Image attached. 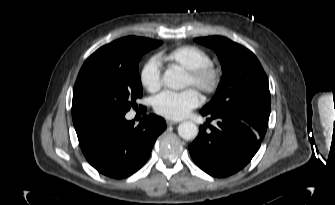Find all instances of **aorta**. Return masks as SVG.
I'll return each instance as SVG.
<instances>
[{"label":"aorta","instance_id":"aorta-1","mask_svg":"<svg viewBox=\"0 0 335 205\" xmlns=\"http://www.w3.org/2000/svg\"><path fill=\"white\" fill-rule=\"evenodd\" d=\"M163 82L171 89H182L185 87L184 77L176 67H170L165 71ZM178 134L185 140L195 139L198 135V127L190 121L182 122L178 126Z\"/></svg>","mask_w":335,"mask_h":205}]
</instances>
